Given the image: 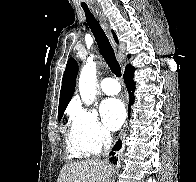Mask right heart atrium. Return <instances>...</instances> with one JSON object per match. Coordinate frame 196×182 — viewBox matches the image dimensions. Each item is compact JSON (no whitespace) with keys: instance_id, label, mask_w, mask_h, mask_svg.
<instances>
[{"instance_id":"obj_1","label":"right heart atrium","mask_w":196,"mask_h":182,"mask_svg":"<svg viewBox=\"0 0 196 182\" xmlns=\"http://www.w3.org/2000/svg\"><path fill=\"white\" fill-rule=\"evenodd\" d=\"M70 115L75 139L87 154L97 153L110 143V133L95 111L76 105L71 109Z\"/></svg>"}]
</instances>
